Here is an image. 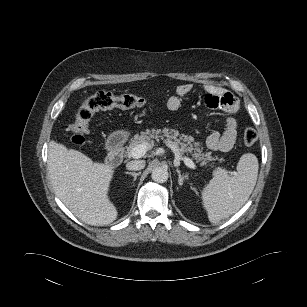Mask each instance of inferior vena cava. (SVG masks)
<instances>
[{
	"label": "inferior vena cava",
	"instance_id": "602c4592",
	"mask_svg": "<svg viewBox=\"0 0 307 307\" xmlns=\"http://www.w3.org/2000/svg\"><path fill=\"white\" fill-rule=\"evenodd\" d=\"M146 162L144 160H132L126 164L128 170H141L145 167Z\"/></svg>",
	"mask_w": 307,
	"mask_h": 307
}]
</instances>
